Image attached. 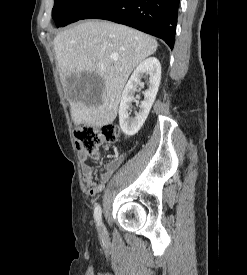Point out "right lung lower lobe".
Wrapping results in <instances>:
<instances>
[{
  "label": "right lung lower lobe",
  "mask_w": 247,
  "mask_h": 275,
  "mask_svg": "<svg viewBox=\"0 0 247 275\" xmlns=\"http://www.w3.org/2000/svg\"><path fill=\"white\" fill-rule=\"evenodd\" d=\"M179 0H100L80 20L104 19L163 39L172 49Z\"/></svg>",
  "instance_id": "1"
}]
</instances>
